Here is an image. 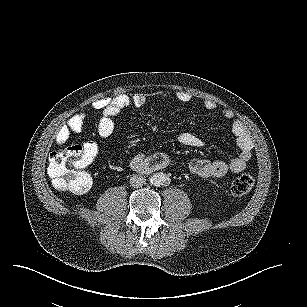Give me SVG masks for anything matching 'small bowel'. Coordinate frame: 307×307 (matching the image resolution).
I'll use <instances>...</instances> for the list:
<instances>
[{
    "label": "small bowel",
    "instance_id": "small-bowel-1",
    "mask_svg": "<svg viewBox=\"0 0 307 307\" xmlns=\"http://www.w3.org/2000/svg\"><path fill=\"white\" fill-rule=\"evenodd\" d=\"M176 97L182 103H188L191 100L190 94L186 92H178ZM145 102L146 98L143 94H123L114 98H103L93 102L92 108L101 112V118L98 124L99 136L107 138L113 133L115 120L124 109L129 107H142ZM203 106L208 111L218 110L217 104L211 100H205ZM219 114L223 120L229 123L239 152L227 161L216 160L211 162L199 159L191 161L188 165L189 171L203 178L222 177L230 171L239 173L245 169L247 163L252 158L253 142L243 124L234 119V114L229 109H221ZM87 115V109L82 108L67 123L62 125L56 135L57 144L65 145L72 134L80 133ZM178 141L183 145L192 147H202L204 145V141L201 138L189 132L180 133L178 135ZM82 150L84 158L89 165L98 155L99 148L96 142L90 141L83 144ZM167 165L168 158L163 154H156L151 157L139 154L131 161V167L137 170H156L164 168Z\"/></svg>",
    "mask_w": 307,
    "mask_h": 307
}]
</instances>
